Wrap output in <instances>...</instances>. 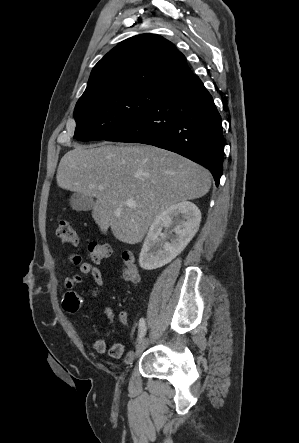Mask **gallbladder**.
Instances as JSON below:
<instances>
[{
    "instance_id": "1",
    "label": "gallbladder",
    "mask_w": 299,
    "mask_h": 443,
    "mask_svg": "<svg viewBox=\"0 0 299 443\" xmlns=\"http://www.w3.org/2000/svg\"><path fill=\"white\" fill-rule=\"evenodd\" d=\"M70 205L76 211H90L94 206V200L92 197L75 192L70 197Z\"/></svg>"
}]
</instances>
